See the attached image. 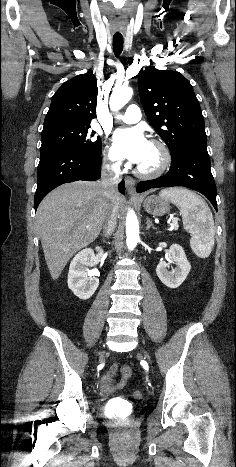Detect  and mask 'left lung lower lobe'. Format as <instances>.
<instances>
[{
	"mask_svg": "<svg viewBox=\"0 0 236 467\" xmlns=\"http://www.w3.org/2000/svg\"><path fill=\"white\" fill-rule=\"evenodd\" d=\"M184 186L206 196L217 211L216 186L210 170L206 141H194L181 148L172 157L171 168L164 176L140 182L137 192L150 188Z\"/></svg>",
	"mask_w": 236,
	"mask_h": 467,
	"instance_id": "1",
	"label": "left lung lower lobe"
}]
</instances>
